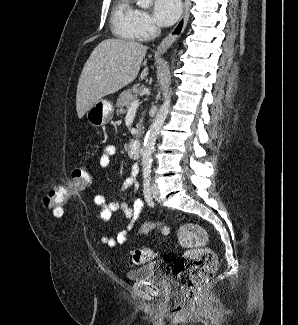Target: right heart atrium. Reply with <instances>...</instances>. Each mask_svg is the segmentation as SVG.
<instances>
[{"label": "right heart atrium", "instance_id": "1", "mask_svg": "<svg viewBox=\"0 0 298 325\" xmlns=\"http://www.w3.org/2000/svg\"><path fill=\"white\" fill-rule=\"evenodd\" d=\"M156 26L151 16L145 10H138L136 25H132V41H153Z\"/></svg>", "mask_w": 298, "mask_h": 325}]
</instances>
